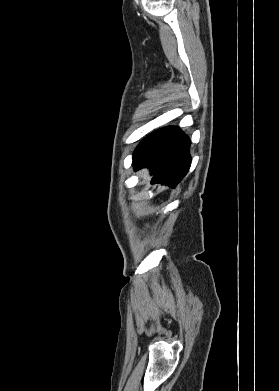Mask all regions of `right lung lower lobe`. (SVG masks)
Listing matches in <instances>:
<instances>
[{
  "instance_id": "98d812e1",
  "label": "right lung lower lobe",
  "mask_w": 279,
  "mask_h": 391,
  "mask_svg": "<svg viewBox=\"0 0 279 391\" xmlns=\"http://www.w3.org/2000/svg\"><path fill=\"white\" fill-rule=\"evenodd\" d=\"M190 140L179 127L169 126L150 134L136 148L133 166L148 167L154 175L152 183L175 187L189 171Z\"/></svg>"
}]
</instances>
